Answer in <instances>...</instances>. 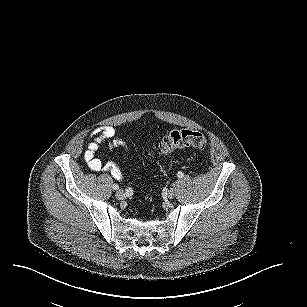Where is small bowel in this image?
<instances>
[{
  "instance_id": "obj_1",
  "label": "small bowel",
  "mask_w": 307,
  "mask_h": 307,
  "mask_svg": "<svg viewBox=\"0 0 307 307\" xmlns=\"http://www.w3.org/2000/svg\"><path fill=\"white\" fill-rule=\"evenodd\" d=\"M104 142H108L109 147L123 145L114 127L100 126L91 133V140L83 154L84 161L92 171H108L116 180L120 181L123 179L121 169L112 162L103 163L96 156L100 145Z\"/></svg>"
}]
</instances>
